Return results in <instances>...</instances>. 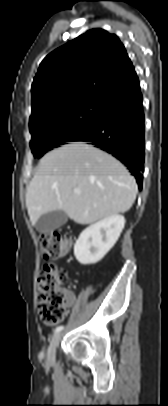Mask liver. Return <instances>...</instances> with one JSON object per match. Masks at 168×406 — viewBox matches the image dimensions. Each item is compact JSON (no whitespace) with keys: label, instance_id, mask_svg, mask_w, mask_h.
I'll return each instance as SVG.
<instances>
[{"label":"liver","instance_id":"6515ba94","mask_svg":"<svg viewBox=\"0 0 168 406\" xmlns=\"http://www.w3.org/2000/svg\"><path fill=\"white\" fill-rule=\"evenodd\" d=\"M137 191L135 179L117 159L74 142L42 157L27 187L26 207L33 225L43 214L57 210L76 223L90 224L127 212Z\"/></svg>","mask_w":168,"mask_h":406}]
</instances>
